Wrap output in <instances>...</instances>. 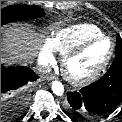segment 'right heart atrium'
Masks as SVG:
<instances>
[{
  "mask_svg": "<svg viewBox=\"0 0 122 122\" xmlns=\"http://www.w3.org/2000/svg\"><path fill=\"white\" fill-rule=\"evenodd\" d=\"M55 51L51 39H46L38 56L40 64L45 67L53 64L55 61Z\"/></svg>",
  "mask_w": 122,
  "mask_h": 122,
  "instance_id": "right-heart-atrium-1",
  "label": "right heart atrium"
}]
</instances>
